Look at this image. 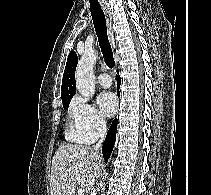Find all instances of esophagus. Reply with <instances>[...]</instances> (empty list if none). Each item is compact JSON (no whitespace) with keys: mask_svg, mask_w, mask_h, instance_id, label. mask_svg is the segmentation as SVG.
<instances>
[{"mask_svg":"<svg viewBox=\"0 0 211 195\" xmlns=\"http://www.w3.org/2000/svg\"><path fill=\"white\" fill-rule=\"evenodd\" d=\"M102 6L106 16L108 36L111 41V44L114 46V35L112 29L113 19H112L111 9L107 2H104Z\"/></svg>","mask_w":211,"mask_h":195,"instance_id":"1","label":"esophagus"}]
</instances>
